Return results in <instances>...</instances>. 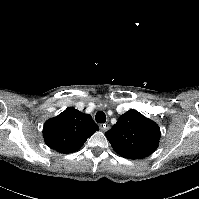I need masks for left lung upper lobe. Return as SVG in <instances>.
<instances>
[{
	"label": "left lung upper lobe",
	"mask_w": 199,
	"mask_h": 199,
	"mask_svg": "<svg viewBox=\"0 0 199 199\" xmlns=\"http://www.w3.org/2000/svg\"><path fill=\"white\" fill-rule=\"evenodd\" d=\"M111 146L120 156L141 159L158 147L160 128L136 110L121 115L117 123L105 133Z\"/></svg>",
	"instance_id": "obj_1"
}]
</instances>
